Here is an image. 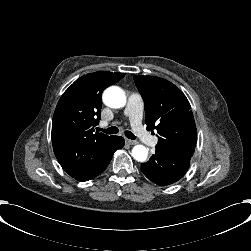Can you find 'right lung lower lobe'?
<instances>
[{"label":"right lung lower lobe","instance_id":"1","mask_svg":"<svg viewBox=\"0 0 251 251\" xmlns=\"http://www.w3.org/2000/svg\"><path fill=\"white\" fill-rule=\"evenodd\" d=\"M125 144L124 138L120 136H116V139L113 143L112 149L108 152L107 156L98 163L95 167L87 171L86 173L80 175L79 177L75 178L78 181L84 182L93 179L94 177L98 176L102 173L108 166L114 152L120 148H122Z\"/></svg>","mask_w":251,"mask_h":251}]
</instances>
